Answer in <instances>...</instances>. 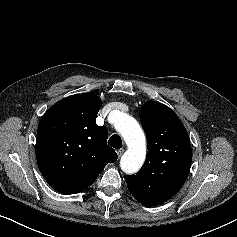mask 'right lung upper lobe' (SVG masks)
<instances>
[{
    "mask_svg": "<svg viewBox=\"0 0 237 237\" xmlns=\"http://www.w3.org/2000/svg\"><path fill=\"white\" fill-rule=\"evenodd\" d=\"M101 99L91 93L66 97L43 115L37 130L36 158L42 176L56 191L70 195L92 185L117 153L98 126Z\"/></svg>",
    "mask_w": 237,
    "mask_h": 237,
    "instance_id": "cb5924a9",
    "label": "right lung upper lobe"
}]
</instances>
